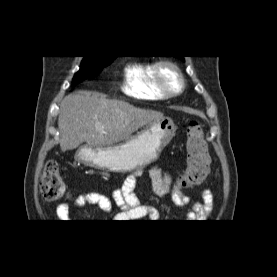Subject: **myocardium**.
<instances>
[{"mask_svg":"<svg viewBox=\"0 0 277 277\" xmlns=\"http://www.w3.org/2000/svg\"><path fill=\"white\" fill-rule=\"evenodd\" d=\"M164 67L170 68L177 76L178 80H179V88L177 90H170L163 79L162 76V69ZM153 74H154V80H155V84L157 89L165 96V97H175L179 94H181L186 86V81L184 78V75L182 73L181 68L174 63L173 61L170 60H161L156 62L153 65Z\"/></svg>","mask_w":277,"mask_h":277,"instance_id":"obj_1","label":"myocardium"}]
</instances>
